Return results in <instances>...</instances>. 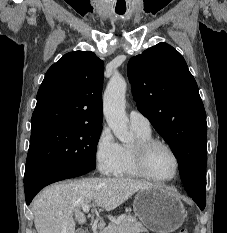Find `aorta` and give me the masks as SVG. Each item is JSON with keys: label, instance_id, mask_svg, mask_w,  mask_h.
Returning <instances> with one entry per match:
<instances>
[{"label": "aorta", "instance_id": "762f6f07", "mask_svg": "<svg viewBox=\"0 0 227 233\" xmlns=\"http://www.w3.org/2000/svg\"><path fill=\"white\" fill-rule=\"evenodd\" d=\"M126 88L125 79L120 75H113L103 97V110L108 126L122 143H129L133 139V134L128 130L125 112Z\"/></svg>", "mask_w": 227, "mask_h": 233}]
</instances>
